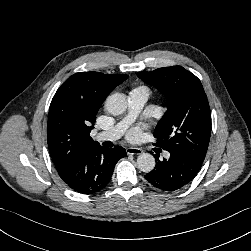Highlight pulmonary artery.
Returning a JSON list of instances; mask_svg holds the SVG:
<instances>
[{"mask_svg": "<svg viewBox=\"0 0 251 251\" xmlns=\"http://www.w3.org/2000/svg\"><path fill=\"white\" fill-rule=\"evenodd\" d=\"M148 98L149 92L147 89L138 88L132 90L128 96L129 113L127 117L113 128L97 134L96 140L115 141L119 139L122 136L126 125L139 114V112L147 102ZM169 156L170 154L168 152L164 153V157L168 158Z\"/></svg>", "mask_w": 251, "mask_h": 251, "instance_id": "pulmonary-artery-1", "label": "pulmonary artery"}]
</instances>
